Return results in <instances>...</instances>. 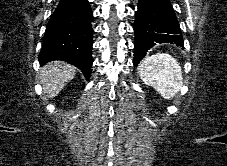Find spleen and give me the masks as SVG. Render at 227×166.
I'll use <instances>...</instances> for the list:
<instances>
[{"label": "spleen", "mask_w": 227, "mask_h": 166, "mask_svg": "<svg viewBox=\"0 0 227 166\" xmlns=\"http://www.w3.org/2000/svg\"><path fill=\"white\" fill-rule=\"evenodd\" d=\"M142 81L166 100L172 99L182 86V70L175 58L165 53L146 56L138 67Z\"/></svg>", "instance_id": "3e777b00"}]
</instances>
